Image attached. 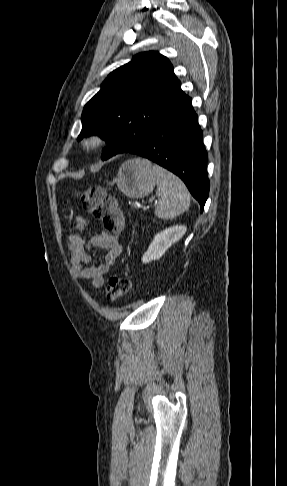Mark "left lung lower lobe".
I'll list each match as a JSON object with an SVG mask.
<instances>
[{"mask_svg":"<svg viewBox=\"0 0 287 486\" xmlns=\"http://www.w3.org/2000/svg\"><path fill=\"white\" fill-rule=\"evenodd\" d=\"M129 153L147 158L178 175L203 209L209 194L207 152L190 97L184 95Z\"/></svg>","mask_w":287,"mask_h":486,"instance_id":"0a47b994","label":"left lung lower lobe"}]
</instances>
